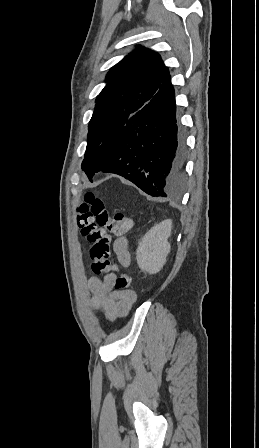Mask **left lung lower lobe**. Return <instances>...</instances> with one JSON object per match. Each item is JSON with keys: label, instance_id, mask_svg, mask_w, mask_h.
Instances as JSON below:
<instances>
[{"label": "left lung lower lobe", "instance_id": "1", "mask_svg": "<svg viewBox=\"0 0 259 448\" xmlns=\"http://www.w3.org/2000/svg\"><path fill=\"white\" fill-rule=\"evenodd\" d=\"M170 75L151 100L132 112L121 130L90 163L86 173H116L147 194L167 197L181 185L187 155L185 133L176 115Z\"/></svg>", "mask_w": 259, "mask_h": 448}]
</instances>
